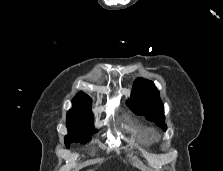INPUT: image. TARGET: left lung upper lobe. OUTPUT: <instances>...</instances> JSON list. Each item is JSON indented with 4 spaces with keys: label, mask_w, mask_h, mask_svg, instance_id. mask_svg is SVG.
<instances>
[{
    "label": "left lung upper lobe",
    "mask_w": 223,
    "mask_h": 171,
    "mask_svg": "<svg viewBox=\"0 0 223 171\" xmlns=\"http://www.w3.org/2000/svg\"><path fill=\"white\" fill-rule=\"evenodd\" d=\"M128 105L138 115H143L147 120L154 122L166 131L164 106L155 85L146 79L138 78L133 85L131 98Z\"/></svg>",
    "instance_id": "5c2ea615"
}]
</instances>
